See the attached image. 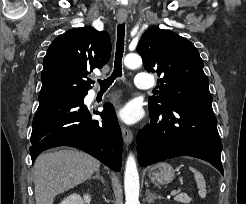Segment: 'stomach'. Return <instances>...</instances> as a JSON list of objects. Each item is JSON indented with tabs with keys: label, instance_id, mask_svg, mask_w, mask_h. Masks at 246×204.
Instances as JSON below:
<instances>
[{
	"label": "stomach",
	"instance_id": "1",
	"mask_svg": "<svg viewBox=\"0 0 246 204\" xmlns=\"http://www.w3.org/2000/svg\"><path fill=\"white\" fill-rule=\"evenodd\" d=\"M174 176L175 170L165 162L152 166L148 171V177L155 185H166L174 179Z\"/></svg>",
	"mask_w": 246,
	"mask_h": 204
}]
</instances>
